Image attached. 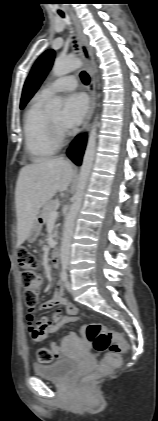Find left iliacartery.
<instances>
[{"label": "left iliac artery", "instance_id": "left-iliac-artery-1", "mask_svg": "<svg viewBox=\"0 0 158 421\" xmlns=\"http://www.w3.org/2000/svg\"><path fill=\"white\" fill-rule=\"evenodd\" d=\"M67 268H68V261L67 260L62 261V270H61L60 277H61V280L64 282L67 281V277H68Z\"/></svg>", "mask_w": 158, "mask_h": 421}]
</instances>
